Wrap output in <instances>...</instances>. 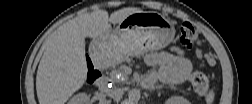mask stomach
Segmentation results:
<instances>
[{
  "label": "stomach",
  "instance_id": "stomach-1",
  "mask_svg": "<svg viewBox=\"0 0 252 104\" xmlns=\"http://www.w3.org/2000/svg\"><path fill=\"white\" fill-rule=\"evenodd\" d=\"M174 34L173 22L162 14L141 11L126 17L114 30L94 39L93 44L96 55L113 65L166 47Z\"/></svg>",
  "mask_w": 252,
  "mask_h": 104
}]
</instances>
